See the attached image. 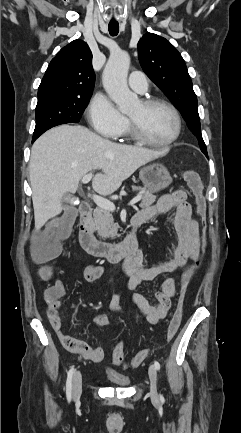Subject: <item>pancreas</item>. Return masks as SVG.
<instances>
[{
  "mask_svg": "<svg viewBox=\"0 0 241 433\" xmlns=\"http://www.w3.org/2000/svg\"><path fill=\"white\" fill-rule=\"evenodd\" d=\"M139 195L142 196L139 204L141 208L149 207L156 201V196L146 189H140ZM118 227L111 211L100 207L94 210L92 230L96 231L101 239L114 238Z\"/></svg>",
  "mask_w": 241,
  "mask_h": 433,
  "instance_id": "pancreas-1",
  "label": "pancreas"
}]
</instances>
